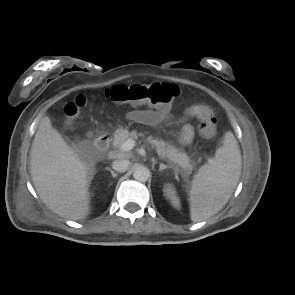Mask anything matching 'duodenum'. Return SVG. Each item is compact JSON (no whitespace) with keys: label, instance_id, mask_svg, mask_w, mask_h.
Returning <instances> with one entry per match:
<instances>
[{"label":"duodenum","instance_id":"410a0bca","mask_svg":"<svg viewBox=\"0 0 295 295\" xmlns=\"http://www.w3.org/2000/svg\"><path fill=\"white\" fill-rule=\"evenodd\" d=\"M110 145V136L106 133L100 134L94 142L95 149L100 152L104 153L108 150Z\"/></svg>","mask_w":295,"mask_h":295}]
</instances>
